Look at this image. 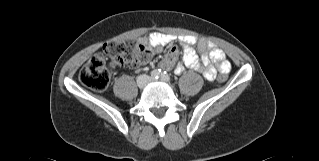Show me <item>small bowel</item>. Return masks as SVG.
<instances>
[{
    "mask_svg": "<svg viewBox=\"0 0 319 161\" xmlns=\"http://www.w3.org/2000/svg\"><path fill=\"white\" fill-rule=\"evenodd\" d=\"M177 40L182 50L183 63H178L175 67V72L180 74L184 71V66L190 67L202 73L203 77L208 81H213L216 78L218 69L221 73H229L231 69L230 62L226 59L225 53L213 46L211 43L200 41L198 51L201 55V63L199 62L197 53L193 48L197 42L196 38L190 35H182L176 38L173 35H168L160 32H153L147 37L140 40L141 43L148 46L152 55H158L163 52L165 45ZM210 50V51H207ZM177 57V50L171 48L166 55L165 60L160 63L163 68H170ZM214 63L216 68L211 64Z\"/></svg>",
    "mask_w": 319,
    "mask_h": 161,
    "instance_id": "obj_1",
    "label": "small bowel"
}]
</instances>
